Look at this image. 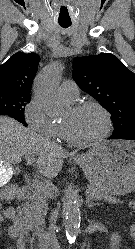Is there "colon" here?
Listing matches in <instances>:
<instances>
[{
  "mask_svg": "<svg viewBox=\"0 0 135 249\" xmlns=\"http://www.w3.org/2000/svg\"><path fill=\"white\" fill-rule=\"evenodd\" d=\"M131 207L133 208V210L135 211V201H133L131 203ZM128 236L129 238L135 240V223L132 224L129 229H128Z\"/></svg>",
  "mask_w": 135,
  "mask_h": 249,
  "instance_id": "5ec220e1",
  "label": "colon"
}]
</instances>
